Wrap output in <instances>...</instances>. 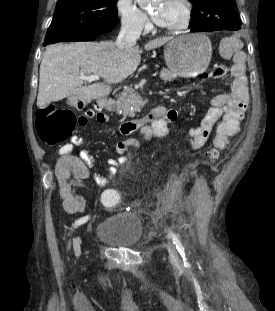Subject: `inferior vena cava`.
I'll return each mask as SVG.
<instances>
[{"label": "inferior vena cava", "instance_id": "1", "mask_svg": "<svg viewBox=\"0 0 275 311\" xmlns=\"http://www.w3.org/2000/svg\"><path fill=\"white\" fill-rule=\"evenodd\" d=\"M143 26L141 24L124 23L116 39V46L120 49H128L135 45L139 39Z\"/></svg>", "mask_w": 275, "mask_h": 311}]
</instances>
